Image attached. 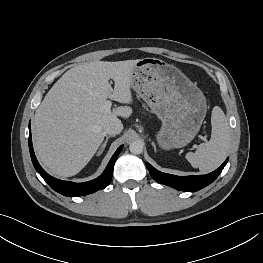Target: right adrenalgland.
Listing matches in <instances>:
<instances>
[{
  "label": "right adrenal gland",
  "mask_w": 263,
  "mask_h": 263,
  "mask_svg": "<svg viewBox=\"0 0 263 263\" xmlns=\"http://www.w3.org/2000/svg\"><path fill=\"white\" fill-rule=\"evenodd\" d=\"M111 137H114V135H109L106 137V139H105L104 143L101 145L100 150L98 151L97 155H100L104 151V149L107 145V142H108L109 138H111Z\"/></svg>",
  "instance_id": "1"
}]
</instances>
